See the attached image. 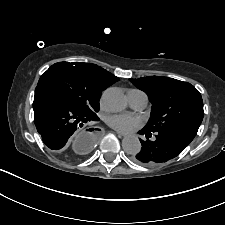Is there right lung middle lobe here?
<instances>
[{
	"label": "right lung middle lobe",
	"mask_w": 225,
	"mask_h": 225,
	"mask_svg": "<svg viewBox=\"0 0 225 225\" xmlns=\"http://www.w3.org/2000/svg\"><path fill=\"white\" fill-rule=\"evenodd\" d=\"M37 87H46L88 116L97 117L103 88L78 62L53 64L40 77Z\"/></svg>",
	"instance_id": "dd1d6c3e"
}]
</instances>
